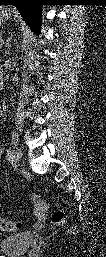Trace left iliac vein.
<instances>
[{
    "label": "left iliac vein",
    "instance_id": "left-iliac-vein-1",
    "mask_svg": "<svg viewBox=\"0 0 106 257\" xmlns=\"http://www.w3.org/2000/svg\"><path fill=\"white\" fill-rule=\"evenodd\" d=\"M13 158H14L15 164H16V163L19 161V159L21 158V152H20L18 149H16V150L14 151Z\"/></svg>",
    "mask_w": 106,
    "mask_h": 257
}]
</instances>
